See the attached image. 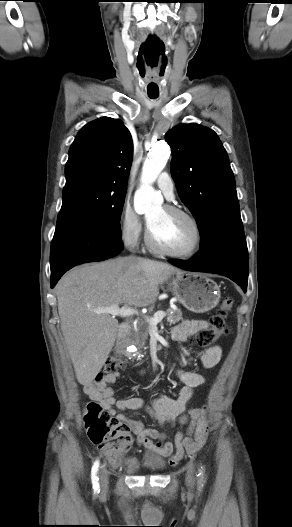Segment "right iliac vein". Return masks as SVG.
Wrapping results in <instances>:
<instances>
[{
    "label": "right iliac vein",
    "instance_id": "1",
    "mask_svg": "<svg viewBox=\"0 0 292 527\" xmlns=\"http://www.w3.org/2000/svg\"><path fill=\"white\" fill-rule=\"evenodd\" d=\"M100 484L102 489H106L108 485V474L105 468H101L99 472Z\"/></svg>",
    "mask_w": 292,
    "mask_h": 527
}]
</instances>
